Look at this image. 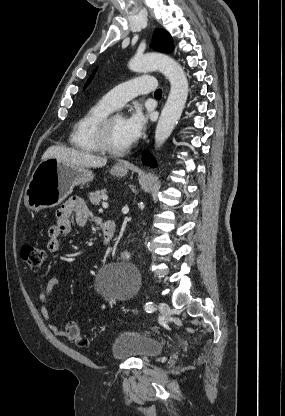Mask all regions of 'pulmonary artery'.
I'll list each match as a JSON object with an SVG mask.
<instances>
[{
	"label": "pulmonary artery",
	"instance_id": "e3ab8cb5",
	"mask_svg": "<svg viewBox=\"0 0 285 416\" xmlns=\"http://www.w3.org/2000/svg\"><path fill=\"white\" fill-rule=\"evenodd\" d=\"M133 86V89L132 87ZM156 86V80L150 75H142L126 82L119 84L116 87H111L102 100L111 108L115 109L120 106L122 102H133L135 96L138 94H145L152 91Z\"/></svg>",
	"mask_w": 285,
	"mask_h": 416
}]
</instances>
